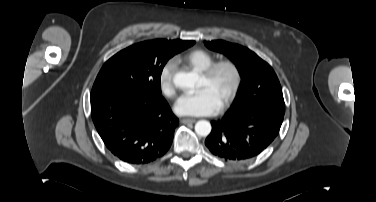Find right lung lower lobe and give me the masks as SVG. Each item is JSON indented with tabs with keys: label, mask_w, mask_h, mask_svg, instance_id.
<instances>
[{
	"label": "right lung lower lobe",
	"mask_w": 376,
	"mask_h": 202,
	"mask_svg": "<svg viewBox=\"0 0 376 202\" xmlns=\"http://www.w3.org/2000/svg\"><path fill=\"white\" fill-rule=\"evenodd\" d=\"M94 125L119 159L144 164L164 155L179 123L162 96L110 90L91 96Z\"/></svg>",
	"instance_id": "1"
}]
</instances>
